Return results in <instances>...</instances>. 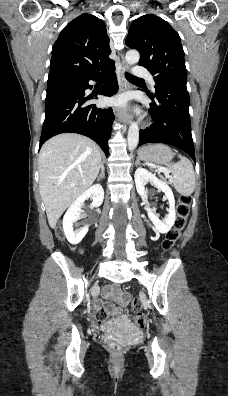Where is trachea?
Masks as SVG:
<instances>
[{"label":"trachea","instance_id":"1","mask_svg":"<svg viewBox=\"0 0 228 396\" xmlns=\"http://www.w3.org/2000/svg\"><path fill=\"white\" fill-rule=\"evenodd\" d=\"M125 76H126V78H127L129 81H143V79L137 78V77H135V76H133V75H131V74H129V73H125Z\"/></svg>","mask_w":228,"mask_h":396}]
</instances>
